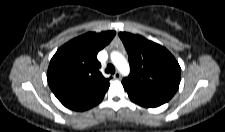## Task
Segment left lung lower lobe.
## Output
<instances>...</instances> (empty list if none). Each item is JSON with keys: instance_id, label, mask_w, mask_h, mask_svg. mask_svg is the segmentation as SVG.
I'll return each instance as SVG.
<instances>
[{"instance_id": "1", "label": "left lung lower lobe", "mask_w": 225, "mask_h": 132, "mask_svg": "<svg viewBox=\"0 0 225 132\" xmlns=\"http://www.w3.org/2000/svg\"><path fill=\"white\" fill-rule=\"evenodd\" d=\"M138 105L144 106V107H150V108H154V107H158L162 104H158V103H145V102H135Z\"/></svg>"}]
</instances>
